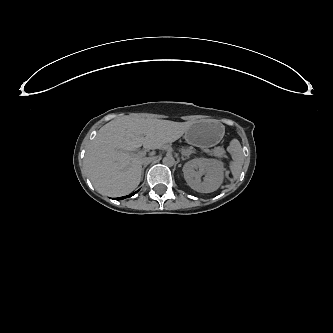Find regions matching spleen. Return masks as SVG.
<instances>
[{
	"instance_id": "spleen-1",
	"label": "spleen",
	"mask_w": 333,
	"mask_h": 333,
	"mask_svg": "<svg viewBox=\"0 0 333 333\" xmlns=\"http://www.w3.org/2000/svg\"><path fill=\"white\" fill-rule=\"evenodd\" d=\"M236 165H237L236 162H234L232 166L235 167Z\"/></svg>"
}]
</instances>
